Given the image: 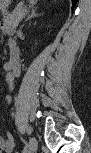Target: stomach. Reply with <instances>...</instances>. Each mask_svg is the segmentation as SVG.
I'll return each mask as SVG.
<instances>
[{
    "instance_id": "obj_1",
    "label": "stomach",
    "mask_w": 91,
    "mask_h": 153,
    "mask_svg": "<svg viewBox=\"0 0 91 153\" xmlns=\"http://www.w3.org/2000/svg\"><path fill=\"white\" fill-rule=\"evenodd\" d=\"M8 3H9L8 0H0V8L4 9Z\"/></svg>"
}]
</instances>
